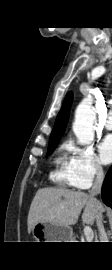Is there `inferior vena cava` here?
<instances>
[{
	"label": "inferior vena cava",
	"instance_id": "1",
	"mask_svg": "<svg viewBox=\"0 0 112 270\" xmlns=\"http://www.w3.org/2000/svg\"><path fill=\"white\" fill-rule=\"evenodd\" d=\"M104 180V172L103 169L100 165H97L96 167V179L94 181V184L90 190V196L94 197L98 194H100L101 192V187H102V183ZM99 206L102 208V205L99 201H97ZM96 224H97V228H98V232H99V238H100V242H108L107 241V235L103 226V216H102V211H100L98 213V215L96 216Z\"/></svg>",
	"mask_w": 112,
	"mask_h": 270
}]
</instances>
